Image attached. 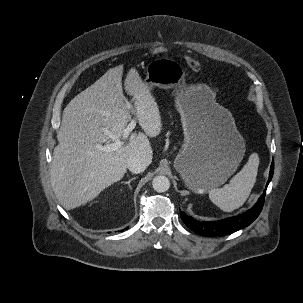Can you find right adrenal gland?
<instances>
[{"mask_svg": "<svg viewBox=\"0 0 303 303\" xmlns=\"http://www.w3.org/2000/svg\"><path fill=\"white\" fill-rule=\"evenodd\" d=\"M135 179H136V177H133V178H131L129 181H122L121 183L127 184L128 187H129V189L131 190L132 187H131L130 183H131L133 180H135Z\"/></svg>", "mask_w": 303, "mask_h": 303, "instance_id": "obj_1", "label": "right adrenal gland"}]
</instances>
